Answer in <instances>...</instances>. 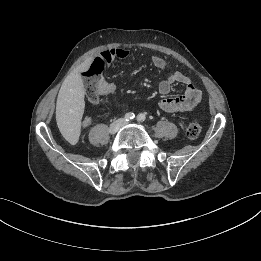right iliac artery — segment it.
I'll use <instances>...</instances> for the list:
<instances>
[{
    "instance_id": "right-iliac-artery-1",
    "label": "right iliac artery",
    "mask_w": 261,
    "mask_h": 261,
    "mask_svg": "<svg viewBox=\"0 0 261 261\" xmlns=\"http://www.w3.org/2000/svg\"><path fill=\"white\" fill-rule=\"evenodd\" d=\"M134 117H135V114L132 113V112L126 113L125 116H124L125 121H130V120H132Z\"/></svg>"
}]
</instances>
